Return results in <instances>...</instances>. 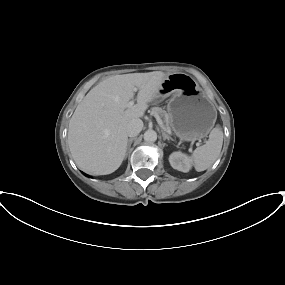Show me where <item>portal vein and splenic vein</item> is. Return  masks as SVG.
Listing matches in <instances>:
<instances>
[{
    "mask_svg": "<svg viewBox=\"0 0 285 285\" xmlns=\"http://www.w3.org/2000/svg\"><path fill=\"white\" fill-rule=\"evenodd\" d=\"M133 90H134V91H137V88L135 87ZM133 105H134V101L131 100V101L128 102L127 107L130 108V107H132ZM153 115H154V117L156 118L158 124H159L165 131L170 132V130L164 126V124H163V122H162L160 116H159L158 114H156V113H153Z\"/></svg>",
    "mask_w": 285,
    "mask_h": 285,
    "instance_id": "obj_1",
    "label": "portal vein and splenic vein"
}]
</instances>
